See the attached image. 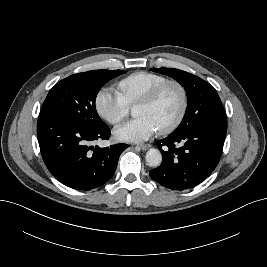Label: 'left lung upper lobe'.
I'll list each match as a JSON object with an SVG mask.
<instances>
[{"label":"left lung upper lobe","instance_id":"left-lung-upper-lobe-1","mask_svg":"<svg viewBox=\"0 0 267 267\" xmlns=\"http://www.w3.org/2000/svg\"><path fill=\"white\" fill-rule=\"evenodd\" d=\"M152 71L168 75L178 81L187 93L188 106L185 115L173 133L183 132L196 125L210 122L209 116L226 120L217 91L208 82L188 72L172 68H152Z\"/></svg>","mask_w":267,"mask_h":267}]
</instances>
